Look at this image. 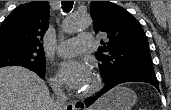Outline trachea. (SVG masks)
Returning a JSON list of instances; mask_svg holds the SVG:
<instances>
[{"instance_id":"obj_1","label":"trachea","mask_w":171,"mask_h":110,"mask_svg":"<svg viewBox=\"0 0 171 110\" xmlns=\"http://www.w3.org/2000/svg\"><path fill=\"white\" fill-rule=\"evenodd\" d=\"M74 1H62V9L64 12H70L73 8Z\"/></svg>"}]
</instances>
